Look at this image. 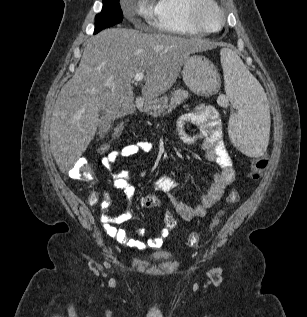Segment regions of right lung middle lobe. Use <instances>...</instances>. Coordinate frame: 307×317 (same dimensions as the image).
Masks as SVG:
<instances>
[{
	"label": "right lung middle lobe",
	"mask_w": 307,
	"mask_h": 317,
	"mask_svg": "<svg viewBox=\"0 0 307 317\" xmlns=\"http://www.w3.org/2000/svg\"><path fill=\"white\" fill-rule=\"evenodd\" d=\"M123 13L119 0H103L102 11L95 17V31L97 34L102 29L122 22Z\"/></svg>",
	"instance_id": "obj_1"
}]
</instances>
